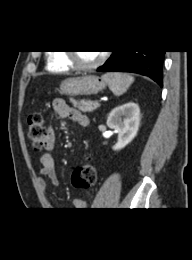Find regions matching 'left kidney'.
Wrapping results in <instances>:
<instances>
[{
	"label": "left kidney",
	"mask_w": 192,
	"mask_h": 260,
	"mask_svg": "<svg viewBox=\"0 0 192 260\" xmlns=\"http://www.w3.org/2000/svg\"><path fill=\"white\" fill-rule=\"evenodd\" d=\"M140 125V108L134 102H128L114 108L107 118V126L118 134L113 150H121L137 135Z\"/></svg>",
	"instance_id": "5707ae66"
}]
</instances>
